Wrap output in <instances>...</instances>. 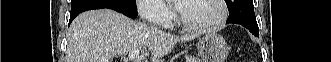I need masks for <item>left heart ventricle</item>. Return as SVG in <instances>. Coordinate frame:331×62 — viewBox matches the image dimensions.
Returning <instances> with one entry per match:
<instances>
[{
  "label": "left heart ventricle",
  "mask_w": 331,
  "mask_h": 62,
  "mask_svg": "<svg viewBox=\"0 0 331 62\" xmlns=\"http://www.w3.org/2000/svg\"><path fill=\"white\" fill-rule=\"evenodd\" d=\"M179 5L184 20L193 26L214 25L221 16V8L216 0L181 1Z\"/></svg>",
  "instance_id": "left-heart-ventricle-1"
}]
</instances>
